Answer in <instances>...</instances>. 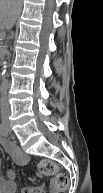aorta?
Masks as SVG:
<instances>
[{
  "label": "aorta",
  "instance_id": "1",
  "mask_svg": "<svg viewBox=\"0 0 103 193\" xmlns=\"http://www.w3.org/2000/svg\"><path fill=\"white\" fill-rule=\"evenodd\" d=\"M6 69V62H4V65H3V72H2V75L5 74V70Z\"/></svg>",
  "mask_w": 103,
  "mask_h": 193
}]
</instances>
